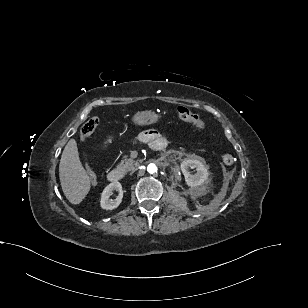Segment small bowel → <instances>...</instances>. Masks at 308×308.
<instances>
[{
    "label": "small bowel",
    "instance_id": "1",
    "mask_svg": "<svg viewBox=\"0 0 308 308\" xmlns=\"http://www.w3.org/2000/svg\"><path fill=\"white\" fill-rule=\"evenodd\" d=\"M157 139L164 141L156 130H146L139 135V140L143 143L149 144L150 146H152V143ZM107 143L108 141L105 142V145Z\"/></svg>",
    "mask_w": 308,
    "mask_h": 308
}]
</instances>
